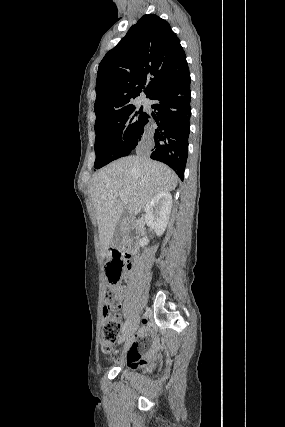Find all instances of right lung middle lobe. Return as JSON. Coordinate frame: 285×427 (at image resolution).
Segmentation results:
<instances>
[{
	"instance_id": "1",
	"label": "right lung middle lobe",
	"mask_w": 285,
	"mask_h": 427,
	"mask_svg": "<svg viewBox=\"0 0 285 427\" xmlns=\"http://www.w3.org/2000/svg\"><path fill=\"white\" fill-rule=\"evenodd\" d=\"M147 114L131 105L95 125L96 169L127 156L140 141Z\"/></svg>"
}]
</instances>
